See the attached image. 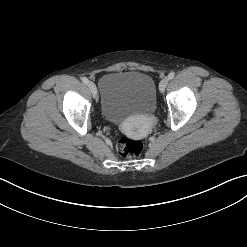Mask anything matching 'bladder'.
Segmentation results:
<instances>
[{
    "mask_svg": "<svg viewBox=\"0 0 247 247\" xmlns=\"http://www.w3.org/2000/svg\"><path fill=\"white\" fill-rule=\"evenodd\" d=\"M98 91L104 118L123 125L132 115H150L156 107L153 79L140 72H119L102 76Z\"/></svg>",
    "mask_w": 247,
    "mask_h": 247,
    "instance_id": "bladder-1",
    "label": "bladder"
}]
</instances>
